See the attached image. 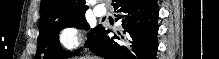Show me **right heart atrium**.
I'll return each instance as SVG.
<instances>
[{
  "label": "right heart atrium",
  "mask_w": 219,
  "mask_h": 59,
  "mask_svg": "<svg viewBox=\"0 0 219 59\" xmlns=\"http://www.w3.org/2000/svg\"><path fill=\"white\" fill-rule=\"evenodd\" d=\"M58 43L66 50H74L82 43L81 33L74 27L63 28L59 32Z\"/></svg>",
  "instance_id": "1"
}]
</instances>
